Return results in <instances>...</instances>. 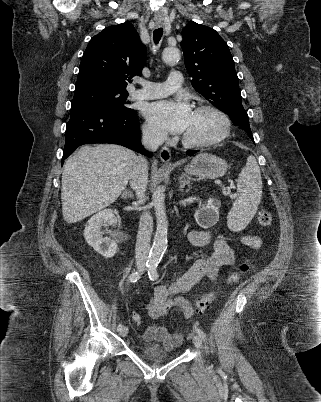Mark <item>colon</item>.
Returning <instances> with one entry per match:
<instances>
[{
  "label": "colon",
  "instance_id": "1",
  "mask_svg": "<svg viewBox=\"0 0 321 402\" xmlns=\"http://www.w3.org/2000/svg\"><path fill=\"white\" fill-rule=\"evenodd\" d=\"M258 223L261 227L270 226L272 223V215H271L270 211H268L266 209L261 210L258 214ZM249 268H250V263L248 261H244L238 265L235 275L246 273L249 270ZM216 293H217L216 291H210V292L202 295L201 297H199L193 305V310L201 311V310L205 309L214 300V298L216 297ZM133 320L136 323H140L141 318H140L139 314L135 313L133 315Z\"/></svg>",
  "mask_w": 321,
  "mask_h": 402
}]
</instances>
